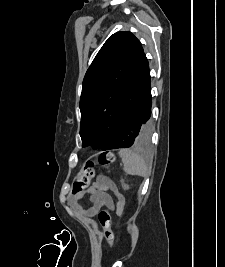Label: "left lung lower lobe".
Instances as JSON below:
<instances>
[{
  "label": "left lung lower lobe",
  "instance_id": "obj_1",
  "mask_svg": "<svg viewBox=\"0 0 225 267\" xmlns=\"http://www.w3.org/2000/svg\"><path fill=\"white\" fill-rule=\"evenodd\" d=\"M151 79L146 55L142 54L125 93L115 132L102 150L128 148L134 145L142 125H145L144 139L152 130L151 121Z\"/></svg>",
  "mask_w": 225,
  "mask_h": 267
}]
</instances>
